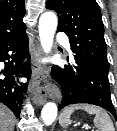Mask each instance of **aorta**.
Masks as SVG:
<instances>
[{
	"instance_id": "obj_1",
	"label": "aorta",
	"mask_w": 117,
	"mask_h": 131,
	"mask_svg": "<svg viewBox=\"0 0 117 131\" xmlns=\"http://www.w3.org/2000/svg\"><path fill=\"white\" fill-rule=\"evenodd\" d=\"M58 19L54 12H45L39 19V37L41 46L45 53L51 51L54 35L57 29ZM57 105L54 102H48L44 105L41 117L46 125H51L57 117Z\"/></svg>"
}]
</instances>
